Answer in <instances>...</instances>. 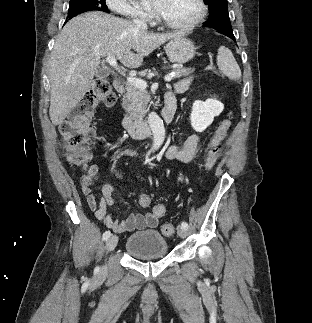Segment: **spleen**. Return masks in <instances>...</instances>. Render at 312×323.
<instances>
[{"mask_svg":"<svg viewBox=\"0 0 312 323\" xmlns=\"http://www.w3.org/2000/svg\"><path fill=\"white\" fill-rule=\"evenodd\" d=\"M217 66L220 72L230 80H240L241 70L229 48H225V46L218 48Z\"/></svg>","mask_w":312,"mask_h":323,"instance_id":"obj_1","label":"spleen"}]
</instances>
